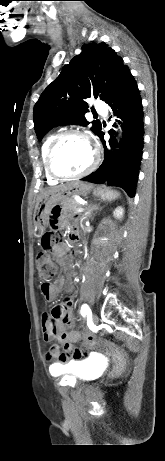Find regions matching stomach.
Listing matches in <instances>:
<instances>
[{"label": "stomach", "instance_id": "0dacf381", "mask_svg": "<svg viewBox=\"0 0 165 461\" xmlns=\"http://www.w3.org/2000/svg\"><path fill=\"white\" fill-rule=\"evenodd\" d=\"M92 186L84 182H72L64 189L59 192L49 194L42 198L39 206L37 207V221L36 226L41 231H44L45 227L49 223V215L52 204L61 203L67 196L70 195H86L90 192Z\"/></svg>", "mask_w": 165, "mask_h": 461}]
</instances>
